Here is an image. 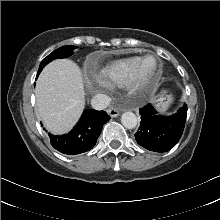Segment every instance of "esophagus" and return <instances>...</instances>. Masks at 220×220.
<instances>
[{
  "instance_id": "obj_1",
  "label": "esophagus",
  "mask_w": 220,
  "mask_h": 220,
  "mask_svg": "<svg viewBox=\"0 0 220 220\" xmlns=\"http://www.w3.org/2000/svg\"><path fill=\"white\" fill-rule=\"evenodd\" d=\"M119 113L120 112L117 109H114V108H111V109L108 110V114L113 118L117 117L119 115Z\"/></svg>"
}]
</instances>
